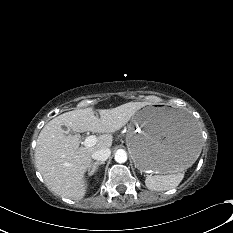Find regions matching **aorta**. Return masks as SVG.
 <instances>
[{
	"label": "aorta",
	"instance_id": "762f6f07",
	"mask_svg": "<svg viewBox=\"0 0 233 233\" xmlns=\"http://www.w3.org/2000/svg\"><path fill=\"white\" fill-rule=\"evenodd\" d=\"M115 161L118 163H125L127 161V153L123 149H118L114 157Z\"/></svg>",
	"mask_w": 233,
	"mask_h": 233
}]
</instances>
